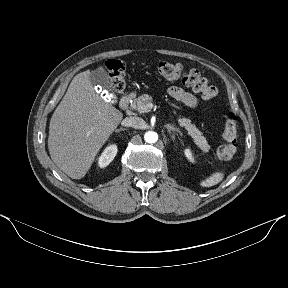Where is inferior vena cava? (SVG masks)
I'll return each instance as SVG.
<instances>
[{
    "label": "inferior vena cava",
    "instance_id": "obj_1",
    "mask_svg": "<svg viewBox=\"0 0 288 288\" xmlns=\"http://www.w3.org/2000/svg\"><path fill=\"white\" fill-rule=\"evenodd\" d=\"M124 126L133 127L136 129H142L145 126V122L140 117H129L126 118L123 123Z\"/></svg>",
    "mask_w": 288,
    "mask_h": 288
}]
</instances>
